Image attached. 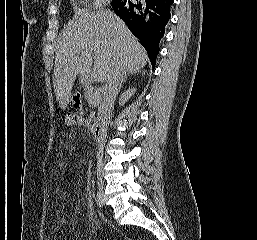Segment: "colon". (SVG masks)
I'll return each instance as SVG.
<instances>
[{
  "label": "colon",
  "instance_id": "5ec220e1",
  "mask_svg": "<svg viewBox=\"0 0 257 240\" xmlns=\"http://www.w3.org/2000/svg\"><path fill=\"white\" fill-rule=\"evenodd\" d=\"M80 102H81V97H80V94L75 92V93H72L71 94V97H70V104L73 106V107H78L80 105Z\"/></svg>",
  "mask_w": 257,
  "mask_h": 240
}]
</instances>
